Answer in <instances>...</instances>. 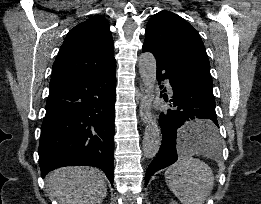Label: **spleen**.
I'll list each match as a JSON object with an SVG mask.
<instances>
[{"instance_id":"spleen-1","label":"spleen","mask_w":261,"mask_h":204,"mask_svg":"<svg viewBox=\"0 0 261 204\" xmlns=\"http://www.w3.org/2000/svg\"><path fill=\"white\" fill-rule=\"evenodd\" d=\"M201 121L187 123L182 133L191 131ZM195 150L215 154L219 150V138L215 141H200ZM166 184L182 204H204L214 186V175L210 167L190 156L180 157L165 172Z\"/></svg>"}]
</instances>
